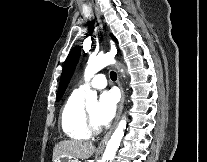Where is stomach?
Returning a JSON list of instances; mask_svg holds the SVG:
<instances>
[{
	"instance_id": "stomach-1",
	"label": "stomach",
	"mask_w": 207,
	"mask_h": 162,
	"mask_svg": "<svg viewBox=\"0 0 207 162\" xmlns=\"http://www.w3.org/2000/svg\"><path fill=\"white\" fill-rule=\"evenodd\" d=\"M53 162H75V161L74 160L66 161V160H63L62 158H60V159H54Z\"/></svg>"
}]
</instances>
